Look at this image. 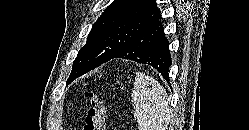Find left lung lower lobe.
I'll list each match as a JSON object with an SVG mask.
<instances>
[{"label":"left lung lower lobe","instance_id":"left-lung-lower-lobe-1","mask_svg":"<svg viewBox=\"0 0 249 130\" xmlns=\"http://www.w3.org/2000/svg\"><path fill=\"white\" fill-rule=\"evenodd\" d=\"M113 58L130 59L151 65L161 73L165 80L169 81L171 56L168 40L160 20L152 23L133 37Z\"/></svg>","mask_w":249,"mask_h":130}]
</instances>
